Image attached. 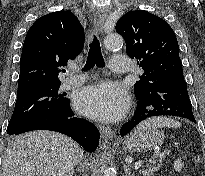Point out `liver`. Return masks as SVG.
I'll list each match as a JSON object with an SVG mask.
<instances>
[{"label":"liver","instance_id":"6515ba94","mask_svg":"<svg viewBox=\"0 0 205 176\" xmlns=\"http://www.w3.org/2000/svg\"><path fill=\"white\" fill-rule=\"evenodd\" d=\"M83 156L69 137L52 131H32L16 136L3 157V176H73Z\"/></svg>","mask_w":205,"mask_h":176}]
</instances>
